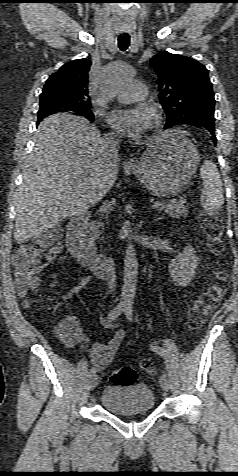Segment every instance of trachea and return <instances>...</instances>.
<instances>
[{"label": "trachea", "mask_w": 238, "mask_h": 476, "mask_svg": "<svg viewBox=\"0 0 238 476\" xmlns=\"http://www.w3.org/2000/svg\"><path fill=\"white\" fill-rule=\"evenodd\" d=\"M130 45V37L128 35H123L118 37V46L121 51L128 49Z\"/></svg>", "instance_id": "3493384b"}]
</instances>
